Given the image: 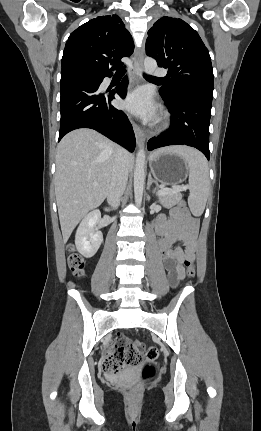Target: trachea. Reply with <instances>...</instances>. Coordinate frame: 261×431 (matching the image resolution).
I'll return each instance as SVG.
<instances>
[{
	"label": "trachea",
	"instance_id": "3493384b",
	"mask_svg": "<svg viewBox=\"0 0 261 431\" xmlns=\"http://www.w3.org/2000/svg\"><path fill=\"white\" fill-rule=\"evenodd\" d=\"M125 69H123V68H120V69H117V71H116V73H115V76H123L124 74H125ZM144 77L145 78H147V79H153V80H162V79H160V78H156V77H153V76H149V75H144Z\"/></svg>",
	"mask_w": 261,
	"mask_h": 431
}]
</instances>
